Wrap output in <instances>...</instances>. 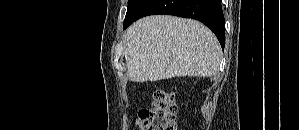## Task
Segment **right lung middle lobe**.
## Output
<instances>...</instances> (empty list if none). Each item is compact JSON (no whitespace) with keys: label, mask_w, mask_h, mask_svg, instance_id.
<instances>
[{"label":"right lung middle lobe","mask_w":299,"mask_h":130,"mask_svg":"<svg viewBox=\"0 0 299 130\" xmlns=\"http://www.w3.org/2000/svg\"><path fill=\"white\" fill-rule=\"evenodd\" d=\"M147 0H128V8L125 17V24L123 29H125L128 24L131 22L135 13L139 10V8L146 2Z\"/></svg>","instance_id":"1"}]
</instances>
